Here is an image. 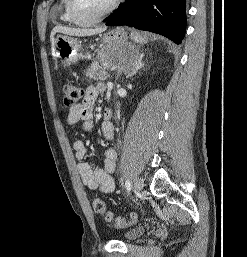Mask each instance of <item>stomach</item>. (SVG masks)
Masks as SVG:
<instances>
[{
    "label": "stomach",
    "mask_w": 247,
    "mask_h": 257,
    "mask_svg": "<svg viewBox=\"0 0 247 257\" xmlns=\"http://www.w3.org/2000/svg\"><path fill=\"white\" fill-rule=\"evenodd\" d=\"M140 35L133 31L130 36L121 28L108 31L102 36L99 59L125 71L133 70L140 57L139 49L129 41ZM56 55L64 65H70L80 58L81 42L77 38L58 35L53 40Z\"/></svg>",
    "instance_id": "stomach-1"
}]
</instances>
